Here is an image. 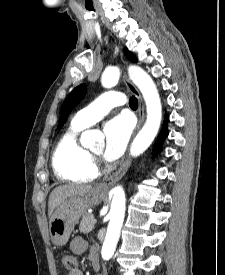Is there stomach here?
Masks as SVG:
<instances>
[{
	"label": "stomach",
	"instance_id": "obj_1",
	"mask_svg": "<svg viewBox=\"0 0 225 275\" xmlns=\"http://www.w3.org/2000/svg\"><path fill=\"white\" fill-rule=\"evenodd\" d=\"M104 195V191L94 188L87 194L67 198L58 205L49 219L52 242L57 246L65 245L80 217L89 207L99 204Z\"/></svg>",
	"mask_w": 225,
	"mask_h": 275
}]
</instances>
